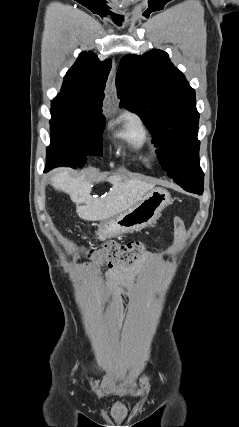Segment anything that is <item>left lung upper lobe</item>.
<instances>
[{
    "label": "left lung upper lobe",
    "instance_id": "left-lung-upper-lobe-1",
    "mask_svg": "<svg viewBox=\"0 0 239 427\" xmlns=\"http://www.w3.org/2000/svg\"><path fill=\"white\" fill-rule=\"evenodd\" d=\"M120 107L137 113L155 137L160 163L178 185L200 181L195 91L170 61L154 49L126 55L116 76Z\"/></svg>",
    "mask_w": 239,
    "mask_h": 427
}]
</instances>
